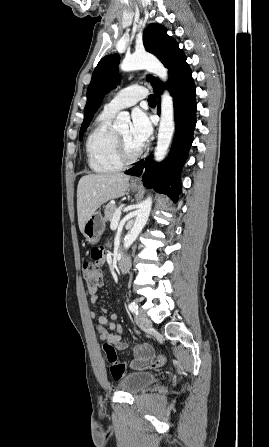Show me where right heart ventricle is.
<instances>
[{"mask_svg":"<svg viewBox=\"0 0 269 447\" xmlns=\"http://www.w3.org/2000/svg\"><path fill=\"white\" fill-rule=\"evenodd\" d=\"M113 116L114 114L103 110L98 115L95 128L87 141L89 166L98 173L116 171L122 167L115 153V132L111 126Z\"/></svg>","mask_w":269,"mask_h":447,"instance_id":"right-heart-ventricle-1","label":"right heart ventricle"}]
</instances>
